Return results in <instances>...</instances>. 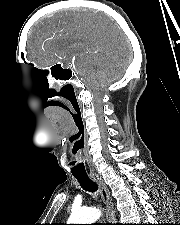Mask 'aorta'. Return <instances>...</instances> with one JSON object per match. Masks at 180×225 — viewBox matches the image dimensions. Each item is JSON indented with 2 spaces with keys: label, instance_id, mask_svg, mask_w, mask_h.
<instances>
[{
  "label": "aorta",
  "instance_id": "aorta-1",
  "mask_svg": "<svg viewBox=\"0 0 180 225\" xmlns=\"http://www.w3.org/2000/svg\"><path fill=\"white\" fill-rule=\"evenodd\" d=\"M101 215L96 208L74 209L69 217L68 224H93Z\"/></svg>",
  "mask_w": 180,
  "mask_h": 225
}]
</instances>
